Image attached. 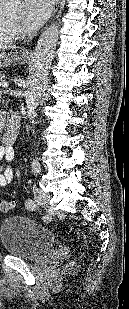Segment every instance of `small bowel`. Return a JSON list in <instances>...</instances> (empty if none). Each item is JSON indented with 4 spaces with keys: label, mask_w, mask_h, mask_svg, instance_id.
<instances>
[{
    "label": "small bowel",
    "mask_w": 129,
    "mask_h": 309,
    "mask_svg": "<svg viewBox=\"0 0 129 309\" xmlns=\"http://www.w3.org/2000/svg\"><path fill=\"white\" fill-rule=\"evenodd\" d=\"M4 158L11 161L14 158V150L12 146H0V160ZM13 169L10 165L0 164V187L6 186L12 181Z\"/></svg>",
    "instance_id": "1"
}]
</instances>
